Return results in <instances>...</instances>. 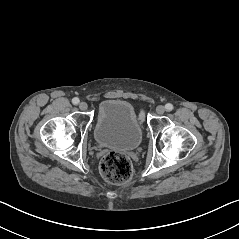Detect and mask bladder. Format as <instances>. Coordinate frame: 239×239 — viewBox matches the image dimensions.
<instances>
[{"label":"bladder","instance_id":"bladder-1","mask_svg":"<svg viewBox=\"0 0 239 239\" xmlns=\"http://www.w3.org/2000/svg\"><path fill=\"white\" fill-rule=\"evenodd\" d=\"M96 142L122 151L138 149L143 132L133 105L123 99H106L98 108L94 126Z\"/></svg>","mask_w":239,"mask_h":239}]
</instances>
